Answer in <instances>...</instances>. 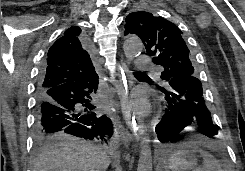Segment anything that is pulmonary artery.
<instances>
[{"mask_svg": "<svg viewBox=\"0 0 245 171\" xmlns=\"http://www.w3.org/2000/svg\"><path fill=\"white\" fill-rule=\"evenodd\" d=\"M135 61L137 63V68L139 70H146V69L151 68L154 65L152 61L150 60V58L147 56H137L135 58Z\"/></svg>", "mask_w": 245, "mask_h": 171, "instance_id": "1", "label": "pulmonary artery"}]
</instances>
